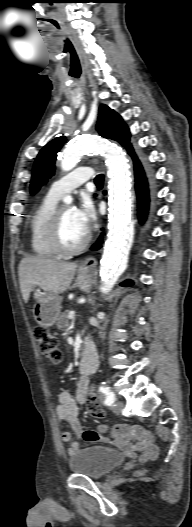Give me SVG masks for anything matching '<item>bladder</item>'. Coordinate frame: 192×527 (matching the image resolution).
Returning <instances> with one entry per match:
<instances>
[{"instance_id":"1","label":"bladder","mask_w":192,"mask_h":527,"mask_svg":"<svg viewBox=\"0 0 192 527\" xmlns=\"http://www.w3.org/2000/svg\"><path fill=\"white\" fill-rule=\"evenodd\" d=\"M125 460V455L111 447L93 445L77 451L69 460L70 470L77 475L100 479Z\"/></svg>"}]
</instances>
